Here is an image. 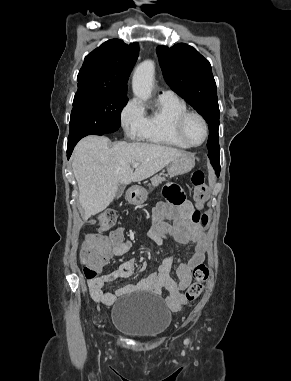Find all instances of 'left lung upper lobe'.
I'll return each mask as SVG.
<instances>
[{"mask_svg": "<svg viewBox=\"0 0 291 381\" xmlns=\"http://www.w3.org/2000/svg\"><path fill=\"white\" fill-rule=\"evenodd\" d=\"M157 54L169 87L185 99L208 123V157L220 161L217 88L209 61L195 48L179 43L158 46Z\"/></svg>", "mask_w": 291, "mask_h": 381, "instance_id": "5c2ea615", "label": "left lung upper lobe"}]
</instances>
